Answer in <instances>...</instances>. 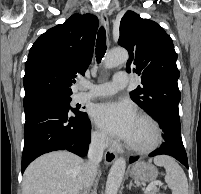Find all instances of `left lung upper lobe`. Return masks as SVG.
Instances as JSON below:
<instances>
[{
  "mask_svg": "<svg viewBox=\"0 0 201 194\" xmlns=\"http://www.w3.org/2000/svg\"><path fill=\"white\" fill-rule=\"evenodd\" d=\"M118 44L129 52L126 69L141 77L131 99L153 117L161 109L178 111L181 94L177 54L171 37L156 22L127 11L120 22Z\"/></svg>",
  "mask_w": 201,
  "mask_h": 194,
  "instance_id": "obj_1",
  "label": "left lung upper lobe"
}]
</instances>
